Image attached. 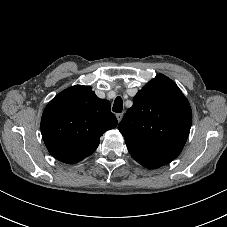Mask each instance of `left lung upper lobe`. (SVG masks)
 I'll use <instances>...</instances> for the list:
<instances>
[{"mask_svg": "<svg viewBox=\"0 0 227 227\" xmlns=\"http://www.w3.org/2000/svg\"><path fill=\"white\" fill-rule=\"evenodd\" d=\"M192 111L178 86L163 74L147 83L118 125L131 156L142 166L173 161L189 135Z\"/></svg>", "mask_w": 227, "mask_h": 227, "instance_id": "left-lung-upper-lobe-1", "label": "left lung upper lobe"}]
</instances>
